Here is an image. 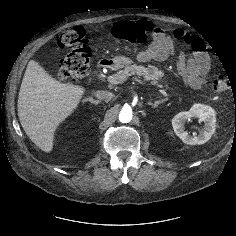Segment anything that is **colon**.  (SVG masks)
<instances>
[{
	"label": "colon",
	"instance_id": "obj_1",
	"mask_svg": "<svg viewBox=\"0 0 236 236\" xmlns=\"http://www.w3.org/2000/svg\"><path fill=\"white\" fill-rule=\"evenodd\" d=\"M155 28L154 23L146 20L122 21L114 26L113 35L121 41L142 44ZM58 44L69 50L60 63L58 77L63 81H80L88 74L90 68L91 52L87 30L83 27L66 30L59 35ZM232 87V81L226 80L222 75L216 76L212 81V89L215 93L224 92Z\"/></svg>",
	"mask_w": 236,
	"mask_h": 236
}]
</instances>
